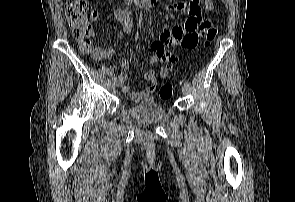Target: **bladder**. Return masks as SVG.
<instances>
[{
    "label": "bladder",
    "instance_id": "obj_1",
    "mask_svg": "<svg viewBox=\"0 0 295 202\" xmlns=\"http://www.w3.org/2000/svg\"><path fill=\"white\" fill-rule=\"evenodd\" d=\"M128 113L134 120L155 123L165 117L166 108L158 99L149 98L130 107Z\"/></svg>",
    "mask_w": 295,
    "mask_h": 202
}]
</instances>
